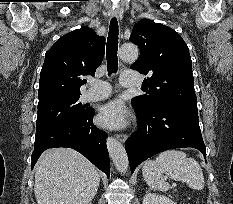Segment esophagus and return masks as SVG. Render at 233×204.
I'll return each instance as SVG.
<instances>
[{"instance_id": "1", "label": "esophagus", "mask_w": 233, "mask_h": 204, "mask_svg": "<svg viewBox=\"0 0 233 204\" xmlns=\"http://www.w3.org/2000/svg\"><path fill=\"white\" fill-rule=\"evenodd\" d=\"M112 16L119 18L120 17V12L118 9H112L111 11ZM117 139L121 142H125L127 140V135L124 133H119L116 135Z\"/></svg>"}]
</instances>
